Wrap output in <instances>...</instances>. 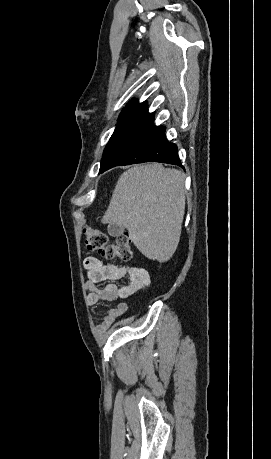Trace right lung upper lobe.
<instances>
[{
    "mask_svg": "<svg viewBox=\"0 0 271 459\" xmlns=\"http://www.w3.org/2000/svg\"><path fill=\"white\" fill-rule=\"evenodd\" d=\"M137 111H148L146 102L138 103L136 100L131 101L127 107L124 108L122 113L125 112H137Z\"/></svg>",
    "mask_w": 271,
    "mask_h": 459,
    "instance_id": "right-lung-upper-lobe-1",
    "label": "right lung upper lobe"
}]
</instances>
